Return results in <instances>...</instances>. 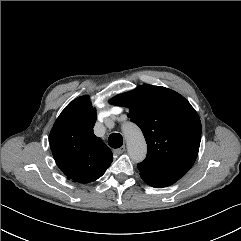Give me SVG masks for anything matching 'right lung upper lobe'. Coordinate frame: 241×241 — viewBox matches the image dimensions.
<instances>
[{
	"instance_id": "1",
	"label": "right lung upper lobe",
	"mask_w": 241,
	"mask_h": 241,
	"mask_svg": "<svg viewBox=\"0 0 241 241\" xmlns=\"http://www.w3.org/2000/svg\"><path fill=\"white\" fill-rule=\"evenodd\" d=\"M96 109L88 96L70 102L50 132V148L57 166L75 182L89 183L111 165V150L96 137Z\"/></svg>"
}]
</instances>
